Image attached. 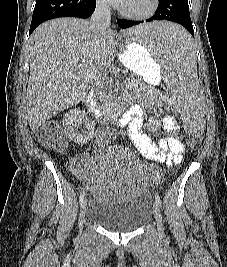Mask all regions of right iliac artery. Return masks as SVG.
Returning <instances> with one entry per match:
<instances>
[{
	"instance_id": "1",
	"label": "right iliac artery",
	"mask_w": 227,
	"mask_h": 267,
	"mask_svg": "<svg viewBox=\"0 0 227 267\" xmlns=\"http://www.w3.org/2000/svg\"><path fill=\"white\" fill-rule=\"evenodd\" d=\"M84 198H85V191H83V192L80 194V198H79V202H80V204L83 203Z\"/></svg>"
}]
</instances>
